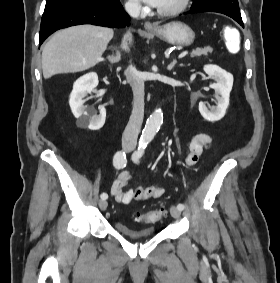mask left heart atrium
<instances>
[{
  "mask_svg": "<svg viewBox=\"0 0 280 283\" xmlns=\"http://www.w3.org/2000/svg\"><path fill=\"white\" fill-rule=\"evenodd\" d=\"M142 1L153 7H158L162 2V0H142Z\"/></svg>",
  "mask_w": 280,
  "mask_h": 283,
  "instance_id": "1",
  "label": "left heart atrium"
}]
</instances>
